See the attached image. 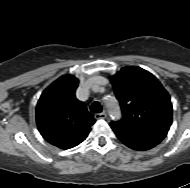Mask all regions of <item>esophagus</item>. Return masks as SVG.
<instances>
[{
	"label": "esophagus",
	"mask_w": 190,
	"mask_h": 188,
	"mask_svg": "<svg viewBox=\"0 0 190 188\" xmlns=\"http://www.w3.org/2000/svg\"><path fill=\"white\" fill-rule=\"evenodd\" d=\"M95 119L99 120V119H106L107 118V114L105 112L102 113H96L94 115Z\"/></svg>",
	"instance_id": "obj_1"
}]
</instances>
